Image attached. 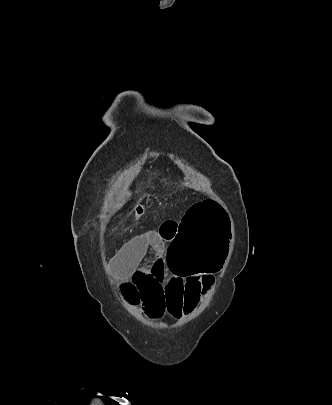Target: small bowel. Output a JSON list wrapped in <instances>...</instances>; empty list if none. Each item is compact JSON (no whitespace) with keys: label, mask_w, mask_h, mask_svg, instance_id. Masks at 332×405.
<instances>
[{"label":"small bowel","mask_w":332,"mask_h":405,"mask_svg":"<svg viewBox=\"0 0 332 405\" xmlns=\"http://www.w3.org/2000/svg\"><path fill=\"white\" fill-rule=\"evenodd\" d=\"M132 215L144 217L146 210L138 206L132 210ZM172 240H175V221L165 222L154 231L133 237L110 258L117 275L124 280L131 279L140 292L144 320H165L168 314L175 318L189 314L213 282L212 275L167 272L165 256ZM148 250L151 256L141 266Z\"/></svg>","instance_id":"small-bowel-1"}]
</instances>
